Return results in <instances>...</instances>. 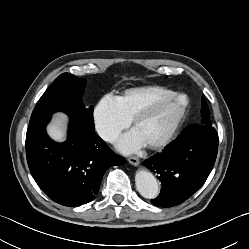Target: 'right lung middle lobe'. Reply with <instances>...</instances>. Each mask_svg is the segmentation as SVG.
I'll return each mask as SVG.
<instances>
[{
	"mask_svg": "<svg viewBox=\"0 0 249 249\" xmlns=\"http://www.w3.org/2000/svg\"><path fill=\"white\" fill-rule=\"evenodd\" d=\"M84 86L85 79L77 78L69 73L58 76L37 102L29 124L50 117L51 114L60 110L85 127L94 129V107L86 108L81 100Z\"/></svg>",
	"mask_w": 249,
	"mask_h": 249,
	"instance_id": "right-lung-middle-lobe-1",
	"label": "right lung middle lobe"
}]
</instances>
